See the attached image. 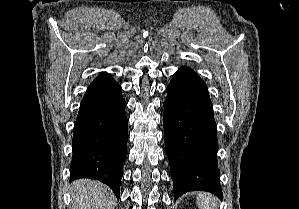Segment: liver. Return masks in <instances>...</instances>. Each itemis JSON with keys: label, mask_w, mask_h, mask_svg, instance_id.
Masks as SVG:
<instances>
[{"label": "liver", "mask_w": 299, "mask_h": 209, "mask_svg": "<svg viewBox=\"0 0 299 209\" xmlns=\"http://www.w3.org/2000/svg\"><path fill=\"white\" fill-rule=\"evenodd\" d=\"M72 209H113L115 196L104 184L90 179L76 180L72 186Z\"/></svg>", "instance_id": "1"}]
</instances>
